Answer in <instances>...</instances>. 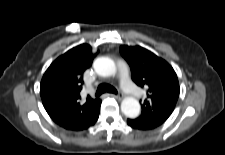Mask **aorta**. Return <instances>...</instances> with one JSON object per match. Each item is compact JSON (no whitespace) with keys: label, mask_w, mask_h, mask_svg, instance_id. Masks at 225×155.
Here are the masks:
<instances>
[{"label":"aorta","mask_w":225,"mask_h":155,"mask_svg":"<svg viewBox=\"0 0 225 155\" xmlns=\"http://www.w3.org/2000/svg\"><path fill=\"white\" fill-rule=\"evenodd\" d=\"M96 73L103 77L113 76L116 73L115 62L109 57H98L93 63ZM121 111L128 118H136L140 114V104L133 97H126L121 102Z\"/></svg>","instance_id":"aorta-1"}]
</instances>
